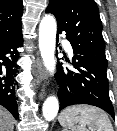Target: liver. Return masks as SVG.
<instances>
[{
	"instance_id": "liver-1",
	"label": "liver",
	"mask_w": 117,
	"mask_h": 131,
	"mask_svg": "<svg viewBox=\"0 0 117 131\" xmlns=\"http://www.w3.org/2000/svg\"><path fill=\"white\" fill-rule=\"evenodd\" d=\"M14 119L12 115L0 106V131H13Z\"/></svg>"
}]
</instances>
